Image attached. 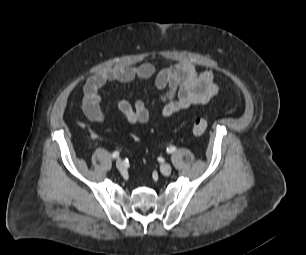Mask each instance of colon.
<instances>
[{
    "instance_id": "5ec220e1",
    "label": "colon",
    "mask_w": 306,
    "mask_h": 255,
    "mask_svg": "<svg viewBox=\"0 0 306 255\" xmlns=\"http://www.w3.org/2000/svg\"><path fill=\"white\" fill-rule=\"evenodd\" d=\"M207 127H208L207 120L205 118L198 117L194 120L192 130L196 136H201L205 133Z\"/></svg>"
}]
</instances>
